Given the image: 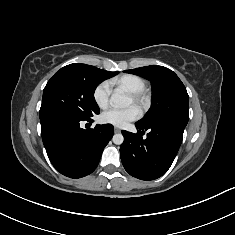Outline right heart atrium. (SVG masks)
<instances>
[{
  "mask_svg": "<svg viewBox=\"0 0 235 235\" xmlns=\"http://www.w3.org/2000/svg\"><path fill=\"white\" fill-rule=\"evenodd\" d=\"M111 95V84L109 81L100 82L93 91V99L99 108H106Z\"/></svg>",
  "mask_w": 235,
  "mask_h": 235,
  "instance_id": "d8ad5b80",
  "label": "right heart atrium"
}]
</instances>
